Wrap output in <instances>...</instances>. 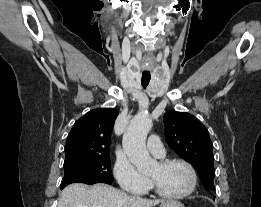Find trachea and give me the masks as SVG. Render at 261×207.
Returning <instances> with one entry per match:
<instances>
[{
  "mask_svg": "<svg viewBox=\"0 0 261 207\" xmlns=\"http://www.w3.org/2000/svg\"><path fill=\"white\" fill-rule=\"evenodd\" d=\"M151 75L150 73H143L141 78V84L143 88H146L150 82Z\"/></svg>",
  "mask_w": 261,
  "mask_h": 207,
  "instance_id": "3493384b",
  "label": "trachea"
}]
</instances>
